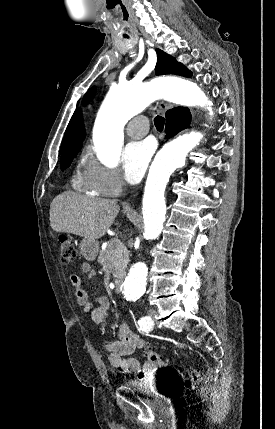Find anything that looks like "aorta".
Returning a JSON list of instances; mask_svg holds the SVG:
<instances>
[{
  "instance_id": "obj_1",
  "label": "aorta",
  "mask_w": 275,
  "mask_h": 429,
  "mask_svg": "<svg viewBox=\"0 0 275 429\" xmlns=\"http://www.w3.org/2000/svg\"><path fill=\"white\" fill-rule=\"evenodd\" d=\"M160 98L185 106L204 107L212 114V102L195 83L187 80L166 78L150 83L114 85L102 103L93 131L95 152L105 165L114 167L118 163L125 123ZM202 137L200 132H187L168 142L158 153L143 195L145 239L153 240L160 235L166 220L164 193L169 178L185 164L188 152ZM147 277V266L143 262L134 264L123 285L124 298L140 297L145 291Z\"/></svg>"
}]
</instances>
